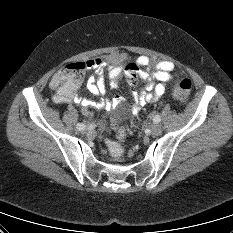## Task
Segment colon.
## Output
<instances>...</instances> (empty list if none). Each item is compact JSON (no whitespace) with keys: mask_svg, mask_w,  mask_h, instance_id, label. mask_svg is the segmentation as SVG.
Wrapping results in <instances>:
<instances>
[{"mask_svg":"<svg viewBox=\"0 0 233 233\" xmlns=\"http://www.w3.org/2000/svg\"><path fill=\"white\" fill-rule=\"evenodd\" d=\"M87 64L85 62L70 63L54 74V81L58 88L64 93L76 92L84 77ZM192 89V81L188 78L178 80L173 88L176 99L183 100L188 97ZM126 137V130L122 125L117 126L114 137H108L106 144L112 157L120 160L124 155L121 142Z\"/></svg>","mask_w":233,"mask_h":233,"instance_id":"obj_1","label":"colon"}]
</instances>
